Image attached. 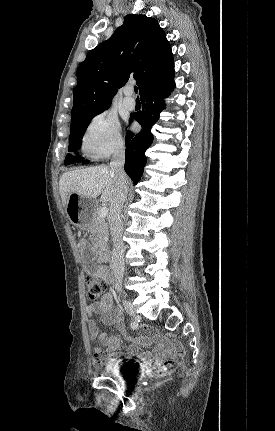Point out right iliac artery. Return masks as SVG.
Returning <instances> with one entry per match:
<instances>
[{
  "instance_id": "82829eb1",
  "label": "right iliac artery",
  "mask_w": 275,
  "mask_h": 431,
  "mask_svg": "<svg viewBox=\"0 0 275 431\" xmlns=\"http://www.w3.org/2000/svg\"><path fill=\"white\" fill-rule=\"evenodd\" d=\"M130 326H131L132 329H136L138 327V323L135 322V321L131 322Z\"/></svg>"
}]
</instances>
